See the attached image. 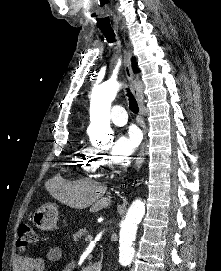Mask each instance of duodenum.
Wrapping results in <instances>:
<instances>
[{"instance_id": "1", "label": "duodenum", "mask_w": 221, "mask_h": 271, "mask_svg": "<svg viewBox=\"0 0 221 271\" xmlns=\"http://www.w3.org/2000/svg\"><path fill=\"white\" fill-rule=\"evenodd\" d=\"M101 269H102V262L98 260L83 267L80 271H101Z\"/></svg>"}]
</instances>
